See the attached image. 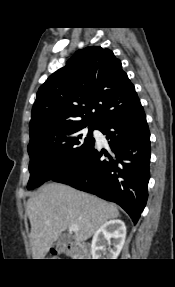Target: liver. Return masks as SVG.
Wrapping results in <instances>:
<instances>
[{
    "label": "liver",
    "instance_id": "1",
    "mask_svg": "<svg viewBox=\"0 0 175 287\" xmlns=\"http://www.w3.org/2000/svg\"><path fill=\"white\" fill-rule=\"evenodd\" d=\"M26 213L31 224L33 259H44L60 234L72 224L78 226L73 239L81 243L105 222L119 216L113 204L54 182L44 185L28 199Z\"/></svg>",
    "mask_w": 175,
    "mask_h": 287
}]
</instances>
